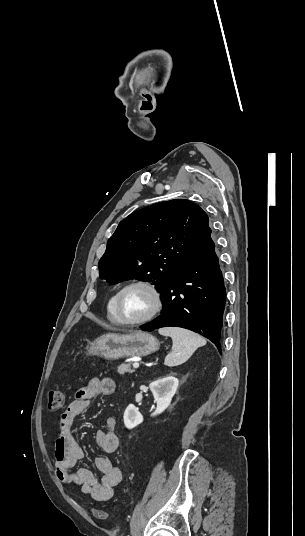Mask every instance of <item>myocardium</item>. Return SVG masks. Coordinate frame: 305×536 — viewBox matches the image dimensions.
<instances>
[{"label": "myocardium", "instance_id": "obj_1", "mask_svg": "<svg viewBox=\"0 0 305 536\" xmlns=\"http://www.w3.org/2000/svg\"><path fill=\"white\" fill-rule=\"evenodd\" d=\"M133 286H142L146 288L153 297V307L151 311L142 319L136 320V321H127L122 318L121 315V300L124 292ZM163 307V295L160 290V288L155 284L154 282L147 280V279H134L126 284H124L117 292L115 301H114V313L118 320V323L120 326L123 327H139L142 325H145L149 321H151L162 309Z\"/></svg>", "mask_w": 305, "mask_h": 536}]
</instances>
